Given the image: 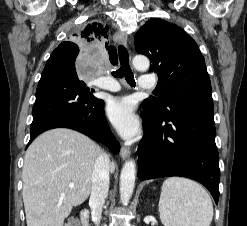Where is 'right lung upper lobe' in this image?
Here are the masks:
<instances>
[{
    "mask_svg": "<svg viewBox=\"0 0 247 226\" xmlns=\"http://www.w3.org/2000/svg\"><path fill=\"white\" fill-rule=\"evenodd\" d=\"M108 26H104L102 23L99 22H91L86 25V27L81 31L78 37L85 43V44H101L104 43L105 39L108 38L107 36ZM106 48L110 54V61L112 64H117V53L114 47H109L106 43ZM57 49H69L73 53H79L78 46L73 42H63L61 43Z\"/></svg>",
    "mask_w": 247,
    "mask_h": 226,
    "instance_id": "right-lung-upper-lobe-1",
    "label": "right lung upper lobe"
}]
</instances>
